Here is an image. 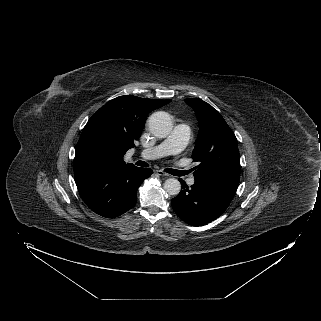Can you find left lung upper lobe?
<instances>
[{
	"mask_svg": "<svg viewBox=\"0 0 321 321\" xmlns=\"http://www.w3.org/2000/svg\"><path fill=\"white\" fill-rule=\"evenodd\" d=\"M196 113L199 134L192 157L199 165L194 177L213 175L240 176V159L237 139L223 117L205 101L185 99Z\"/></svg>",
	"mask_w": 321,
	"mask_h": 321,
	"instance_id": "5c2ea615",
	"label": "left lung upper lobe"
}]
</instances>
